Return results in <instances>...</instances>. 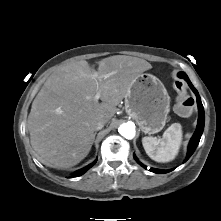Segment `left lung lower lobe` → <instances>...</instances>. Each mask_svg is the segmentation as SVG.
Listing matches in <instances>:
<instances>
[{
    "instance_id": "1",
    "label": "left lung lower lobe",
    "mask_w": 221,
    "mask_h": 221,
    "mask_svg": "<svg viewBox=\"0 0 221 221\" xmlns=\"http://www.w3.org/2000/svg\"><path fill=\"white\" fill-rule=\"evenodd\" d=\"M178 77L184 79L188 83L190 88L193 90V92L195 93L196 98H197L198 109H199L198 124H197L196 131L193 134V136L190 140L189 146H188L187 157L184 161V162H186L191 157V155L194 153V151H195V149H196V147H197V145L200 141V138H201V135H202L203 129H204L205 118H204V108H203L200 96L198 94V91L192 85V83L189 80L188 76L184 72L178 73ZM133 156H134V159L137 161L138 164H140L145 169L147 168L144 164H142L141 162L138 161V159L136 158L135 155H133ZM150 171L154 172V173H158V174H163V173H168L172 170H160V169L151 168Z\"/></svg>"
}]
</instances>
